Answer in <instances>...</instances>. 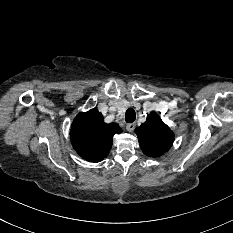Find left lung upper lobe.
<instances>
[{"label":"left lung upper lobe","instance_id":"obj_1","mask_svg":"<svg viewBox=\"0 0 233 233\" xmlns=\"http://www.w3.org/2000/svg\"><path fill=\"white\" fill-rule=\"evenodd\" d=\"M135 132L142 151L149 157L161 156L174 141L173 132L155 112H151L146 122L136 128Z\"/></svg>","mask_w":233,"mask_h":233}]
</instances>
